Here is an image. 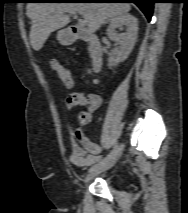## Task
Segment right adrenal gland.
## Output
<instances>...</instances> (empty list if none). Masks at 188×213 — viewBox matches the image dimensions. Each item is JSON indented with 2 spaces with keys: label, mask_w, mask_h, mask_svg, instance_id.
<instances>
[{
  "label": "right adrenal gland",
  "mask_w": 188,
  "mask_h": 213,
  "mask_svg": "<svg viewBox=\"0 0 188 213\" xmlns=\"http://www.w3.org/2000/svg\"><path fill=\"white\" fill-rule=\"evenodd\" d=\"M109 21H110V19H107V20L104 22V24L108 23Z\"/></svg>",
  "instance_id": "2a0ac1e0"
}]
</instances>
